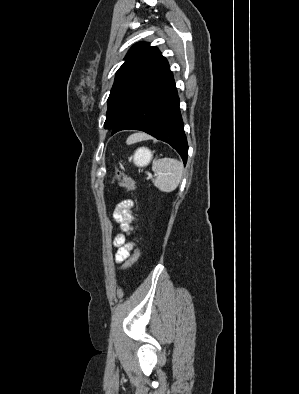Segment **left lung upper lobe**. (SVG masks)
I'll list each match as a JSON object with an SVG mask.
<instances>
[{"mask_svg":"<svg viewBox=\"0 0 299 394\" xmlns=\"http://www.w3.org/2000/svg\"><path fill=\"white\" fill-rule=\"evenodd\" d=\"M168 68L166 58L157 47H152L149 43L133 45L125 57V62L116 72L107 100L104 127L113 129L147 87Z\"/></svg>","mask_w":299,"mask_h":394,"instance_id":"1","label":"left lung upper lobe"}]
</instances>
